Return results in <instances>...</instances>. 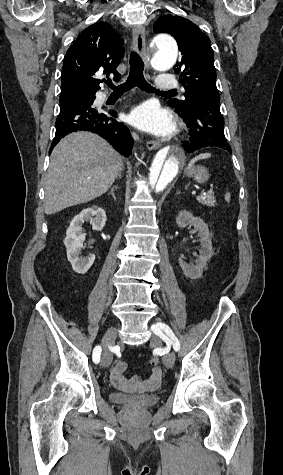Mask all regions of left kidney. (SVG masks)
Returning a JSON list of instances; mask_svg holds the SVG:
<instances>
[{
    "mask_svg": "<svg viewBox=\"0 0 283 475\" xmlns=\"http://www.w3.org/2000/svg\"><path fill=\"white\" fill-rule=\"evenodd\" d=\"M176 224L179 228H186V226H194L195 230H198V236L201 241V249H199L200 255H198V259H196V265L193 263H187L184 261L182 257H179V265L183 269L184 275L186 277H190V279H198V277H202L203 269L206 265V261L210 259L211 255H213L212 249V241L210 239V234L208 230V226H206L205 222L201 220V218H194L191 212H179L176 218Z\"/></svg>",
    "mask_w": 283,
    "mask_h": 475,
    "instance_id": "left-kidney-1",
    "label": "left kidney"
}]
</instances>
